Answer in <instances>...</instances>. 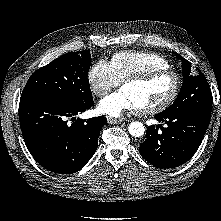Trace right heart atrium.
Here are the masks:
<instances>
[{
  "mask_svg": "<svg viewBox=\"0 0 221 221\" xmlns=\"http://www.w3.org/2000/svg\"><path fill=\"white\" fill-rule=\"evenodd\" d=\"M87 81L91 91L98 97L105 96L120 84L110 63L104 60H99L90 67Z\"/></svg>",
  "mask_w": 221,
  "mask_h": 221,
  "instance_id": "1",
  "label": "right heart atrium"
}]
</instances>
